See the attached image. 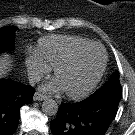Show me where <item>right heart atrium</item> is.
<instances>
[{"label":"right heart atrium","mask_w":135,"mask_h":135,"mask_svg":"<svg viewBox=\"0 0 135 135\" xmlns=\"http://www.w3.org/2000/svg\"><path fill=\"white\" fill-rule=\"evenodd\" d=\"M24 62L31 76L40 77L49 72V67L36 51L28 53Z\"/></svg>","instance_id":"1"}]
</instances>
